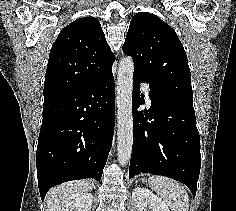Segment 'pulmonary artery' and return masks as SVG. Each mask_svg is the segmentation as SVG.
I'll list each match as a JSON object with an SVG mask.
<instances>
[{
	"mask_svg": "<svg viewBox=\"0 0 236 211\" xmlns=\"http://www.w3.org/2000/svg\"><path fill=\"white\" fill-rule=\"evenodd\" d=\"M142 90H143V92L146 95L147 102H150L149 87H148V85H146V84L143 85Z\"/></svg>",
	"mask_w": 236,
	"mask_h": 211,
	"instance_id": "pulmonary-artery-1",
	"label": "pulmonary artery"
}]
</instances>
